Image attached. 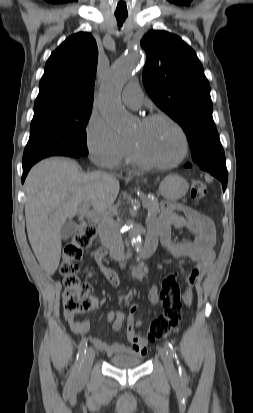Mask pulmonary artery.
<instances>
[{"mask_svg":"<svg viewBox=\"0 0 253 413\" xmlns=\"http://www.w3.org/2000/svg\"><path fill=\"white\" fill-rule=\"evenodd\" d=\"M122 101L130 108L137 109L143 101V93L137 83L128 84L122 93Z\"/></svg>","mask_w":253,"mask_h":413,"instance_id":"pulmonary-artery-1","label":"pulmonary artery"}]
</instances>
